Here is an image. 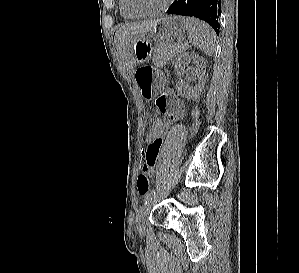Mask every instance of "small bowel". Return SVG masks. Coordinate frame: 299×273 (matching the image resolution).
I'll return each instance as SVG.
<instances>
[{
  "label": "small bowel",
  "instance_id": "obj_1",
  "mask_svg": "<svg viewBox=\"0 0 299 273\" xmlns=\"http://www.w3.org/2000/svg\"><path fill=\"white\" fill-rule=\"evenodd\" d=\"M156 106L160 113L167 116L170 121L178 120L184 113L183 102L173 95H162L157 98ZM163 144V137L157 138L153 141H147V147L144 150L145 162L142 167L143 173L148 176H153L155 167L158 161L160 149Z\"/></svg>",
  "mask_w": 299,
  "mask_h": 273
}]
</instances>
